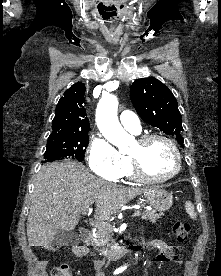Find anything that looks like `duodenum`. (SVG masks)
<instances>
[{
    "instance_id": "duodenum-1",
    "label": "duodenum",
    "mask_w": 221,
    "mask_h": 276,
    "mask_svg": "<svg viewBox=\"0 0 221 276\" xmlns=\"http://www.w3.org/2000/svg\"><path fill=\"white\" fill-rule=\"evenodd\" d=\"M80 239L84 244H88L91 241L92 234L88 229H81L79 232ZM85 247V246H83ZM120 250L108 249L104 251L105 256H115L119 254Z\"/></svg>"
}]
</instances>
